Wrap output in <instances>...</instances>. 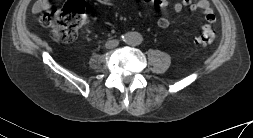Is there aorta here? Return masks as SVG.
I'll return each instance as SVG.
<instances>
[{"mask_svg":"<svg viewBox=\"0 0 253 138\" xmlns=\"http://www.w3.org/2000/svg\"><path fill=\"white\" fill-rule=\"evenodd\" d=\"M123 40L129 45H139L143 41V37L139 32H128L124 35Z\"/></svg>","mask_w":253,"mask_h":138,"instance_id":"1","label":"aorta"}]
</instances>
